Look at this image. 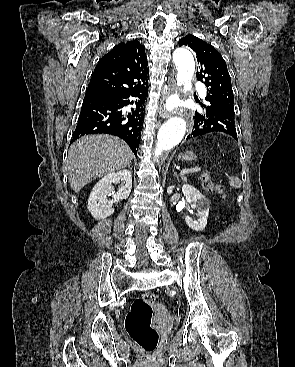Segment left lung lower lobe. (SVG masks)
<instances>
[{"label":"left lung lower lobe","instance_id":"1","mask_svg":"<svg viewBox=\"0 0 295 367\" xmlns=\"http://www.w3.org/2000/svg\"><path fill=\"white\" fill-rule=\"evenodd\" d=\"M234 116V108L229 106L221 104L205 105L203 113H195L194 127L187 139L210 132H223L237 140Z\"/></svg>","mask_w":295,"mask_h":367}]
</instances>
